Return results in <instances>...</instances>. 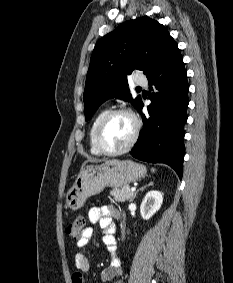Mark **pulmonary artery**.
<instances>
[{
    "label": "pulmonary artery",
    "instance_id": "1",
    "mask_svg": "<svg viewBox=\"0 0 233 283\" xmlns=\"http://www.w3.org/2000/svg\"><path fill=\"white\" fill-rule=\"evenodd\" d=\"M135 83L139 86H146L147 85V79L143 76H138L135 79Z\"/></svg>",
    "mask_w": 233,
    "mask_h": 283
}]
</instances>
